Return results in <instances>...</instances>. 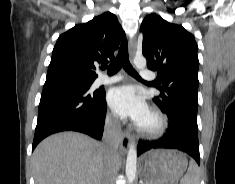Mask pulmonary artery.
I'll return each mask as SVG.
<instances>
[{
    "instance_id": "pulmonary-artery-1",
    "label": "pulmonary artery",
    "mask_w": 235,
    "mask_h": 184,
    "mask_svg": "<svg viewBox=\"0 0 235 184\" xmlns=\"http://www.w3.org/2000/svg\"><path fill=\"white\" fill-rule=\"evenodd\" d=\"M140 74H145L146 77L150 78L151 74H149V69H140ZM125 79V77L121 74H116L113 76L101 75L99 76L94 85L99 87L103 85H110L114 83L121 82Z\"/></svg>"
}]
</instances>
